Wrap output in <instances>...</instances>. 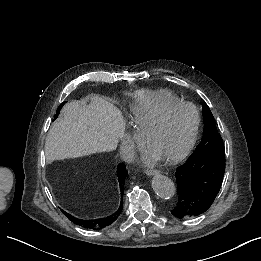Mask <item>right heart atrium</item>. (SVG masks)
<instances>
[{"label": "right heart atrium", "mask_w": 261, "mask_h": 261, "mask_svg": "<svg viewBox=\"0 0 261 261\" xmlns=\"http://www.w3.org/2000/svg\"><path fill=\"white\" fill-rule=\"evenodd\" d=\"M118 109L120 110L119 107H118ZM128 134H129V143H128V144H130V141H131V139H132V129H131V127H130V129H129V131H128Z\"/></svg>", "instance_id": "d8ad5b80"}]
</instances>
